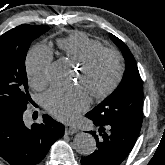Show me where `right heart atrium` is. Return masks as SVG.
I'll use <instances>...</instances> for the list:
<instances>
[{
	"mask_svg": "<svg viewBox=\"0 0 165 165\" xmlns=\"http://www.w3.org/2000/svg\"><path fill=\"white\" fill-rule=\"evenodd\" d=\"M51 61L52 53L46 46L36 45L30 50L26 60V69L33 86L40 87L46 84Z\"/></svg>",
	"mask_w": 165,
	"mask_h": 165,
	"instance_id": "1",
	"label": "right heart atrium"
}]
</instances>
